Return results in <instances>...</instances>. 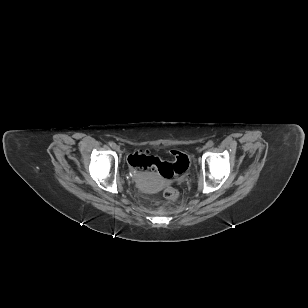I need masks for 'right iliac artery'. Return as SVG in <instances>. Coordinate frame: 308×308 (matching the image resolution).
<instances>
[{"mask_svg": "<svg viewBox=\"0 0 308 308\" xmlns=\"http://www.w3.org/2000/svg\"><path fill=\"white\" fill-rule=\"evenodd\" d=\"M109 145L113 148L116 144L114 142H109Z\"/></svg>", "mask_w": 308, "mask_h": 308, "instance_id": "1", "label": "right iliac artery"}]
</instances>
